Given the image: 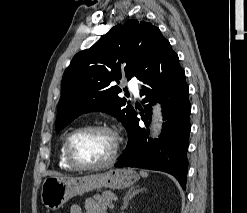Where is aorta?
<instances>
[{
	"label": "aorta",
	"instance_id": "obj_1",
	"mask_svg": "<svg viewBox=\"0 0 247 213\" xmlns=\"http://www.w3.org/2000/svg\"><path fill=\"white\" fill-rule=\"evenodd\" d=\"M162 114L159 104L154 106L153 109V125L151 127V133L154 138H157L161 131Z\"/></svg>",
	"mask_w": 247,
	"mask_h": 213
}]
</instances>
